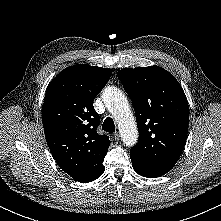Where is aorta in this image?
<instances>
[{"mask_svg": "<svg viewBox=\"0 0 221 221\" xmlns=\"http://www.w3.org/2000/svg\"><path fill=\"white\" fill-rule=\"evenodd\" d=\"M103 102L115 118L121 139L126 146H133L138 140V129L130 105L124 93L114 86L106 87Z\"/></svg>", "mask_w": 221, "mask_h": 221, "instance_id": "aorta-1", "label": "aorta"}]
</instances>
